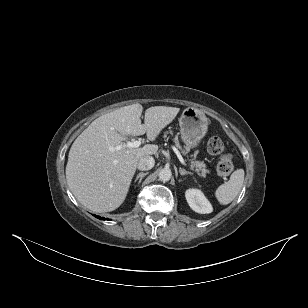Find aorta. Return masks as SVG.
Here are the masks:
<instances>
[{"label": "aorta", "instance_id": "762f6f07", "mask_svg": "<svg viewBox=\"0 0 308 308\" xmlns=\"http://www.w3.org/2000/svg\"><path fill=\"white\" fill-rule=\"evenodd\" d=\"M172 177V172L170 169H161L159 172V179L163 182H167L171 179Z\"/></svg>", "mask_w": 308, "mask_h": 308}]
</instances>
